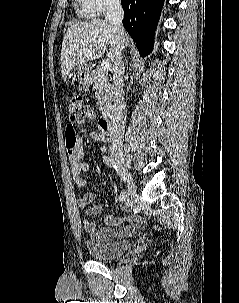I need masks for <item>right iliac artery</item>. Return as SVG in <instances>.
<instances>
[{
    "label": "right iliac artery",
    "mask_w": 239,
    "mask_h": 303,
    "mask_svg": "<svg viewBox=\"0 0 239 303\" xmlns=\"http://www.w3.org/2000/svg\"><path fill=\"white\" fill-rule=\"evenodd\" d=\"M103 161H104L107 165H109V166L115 168V170H116L117 173L119 174V178H124L125 172L122 171L121 166L116 162V160H114L113 158H111V157H109V156H104V157H103ZM121 180H123V179H121ZM126 197H127V194H126L125 191H123V192L120 194V196H119V201H120V202L125 201Z\"/></svg>",
    "instance_id": "right-iliac-artery-1"
}]
</instances>
